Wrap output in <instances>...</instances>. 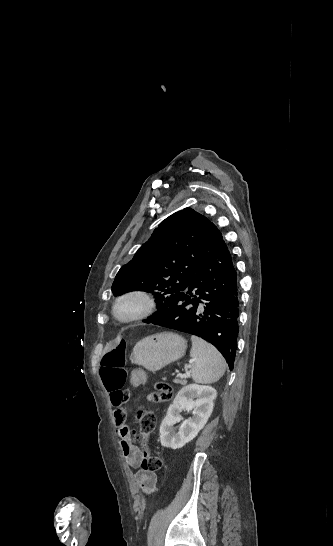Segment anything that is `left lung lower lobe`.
Here are the masks:
<instances>
[{
  "instance_id": "1",
  "label": "left lung lower lobe",
  "mask_w": 333,
  "mask_h": 546,
  "mask_svg": "<svg viewBox=\"0 0 333 546\" xmlns=\"http://www.w3.org/2000/svg\"><path fill=\"white\" fill-rule=\"evenodd\" d=\"M171 302L168 311L143 322L209 341L232 370L237 349L239 287L231 254L219 230L186 291L174 296Z\"/></svg>"
}]
</instances>
